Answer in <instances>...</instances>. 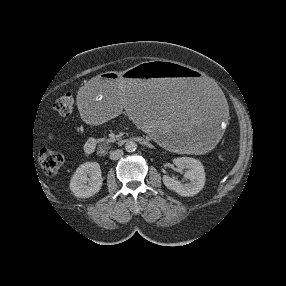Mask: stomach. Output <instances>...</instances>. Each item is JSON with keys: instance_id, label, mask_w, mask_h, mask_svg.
Masks as SVG:
<instances>
[{"instance_id": "0dacf381", "label": "stomach", "mask_w": 286, "mask_h": 286, "mask_svg": "<svg viewBox=\"0 0 286 286\" xmlns=\"http://www.w3.org/2000/svg\"><path fill=\"white\" fill-rule=\"evenodd\" d=\"M75 108L90 123L116 119L126 110L138 127L180 154L213 147L227 120L225 100L213 83L168 60L96 75L78 92Z\"/></svg>"}]
</instances>
